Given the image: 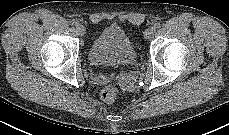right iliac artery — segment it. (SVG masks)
Segmentation results:
<instances>
[{
	"mask_svg": "<svg viewBox=\"0 0 229 135\" xmlns=\"http://www.w3.org/2000/svg\"><path fill=\"white\" fill-rule=\"evenodd\" d=\"M71 22H72V24L74 26H78L79 25V21L77 19H73Z\"/></svg>",
	"mask_w": 229,
	"mask_h": 135,
	"instance_id": "right-iliac-artery-1",
	"label": "right iliac artery"
}]
</instances>
